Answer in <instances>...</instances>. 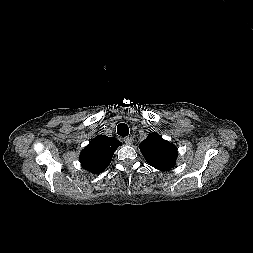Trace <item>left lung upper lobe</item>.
<instances>
[{
	"label": "left lung upper lobe",
	"instance_id": "1",
	"mask_svg": "<svg viewBox=\"0 0 253 253\" xmlns=\"http://www.w3.org/2000/svg\"><path fill=\"white\" fill-rule=\"evenodd\" d=\"M139 149L146 161L154 168L166 171L175 165L177 148L156 133H150Z\"/></svg>",
	"mask_w": 253,
	"mask_h": 253
}]
</instances>
